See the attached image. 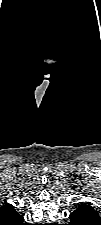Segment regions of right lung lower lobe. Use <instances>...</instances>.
Instances as JSON below:
<instances>
[{"label": "right lung lower lobe", "mask_w": 101, "mask_h": 225, "mask_svg": "<svg viewBox=\"0 0 101 225\" xmlns=\"http://www.w3.org/2000/svg\"><path fill=\"white\" fill-rule=\"evenodd\" d=\"M23 221H24V219L22 217L21 220H19V222L17 223V225H27V224H24Z\"/></svg>", "instance_id": "98d812e1"}]
</instances>
